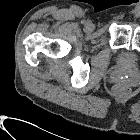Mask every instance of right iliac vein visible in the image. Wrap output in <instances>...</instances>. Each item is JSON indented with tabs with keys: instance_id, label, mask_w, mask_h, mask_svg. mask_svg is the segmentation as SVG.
Wrapping results in <instances>:
<instances>
[{
	"instance_id": "63e3f726",
	"label": "right iliac vein",
	"mask_w": 140,
	"mask_h": 140,
	"mask_svg": "<svg viewBox=\"0 0 140 140\" xmlns=\"http://www.w3.org/2000/svg\"><path fill=\"white\" fill-rule=\"evenodd\" d=\"M85 29L87 31H92L94 29V24L91 23V22H88L87 25H86V27H85Z\"/></svg>"
}]
</instances>
